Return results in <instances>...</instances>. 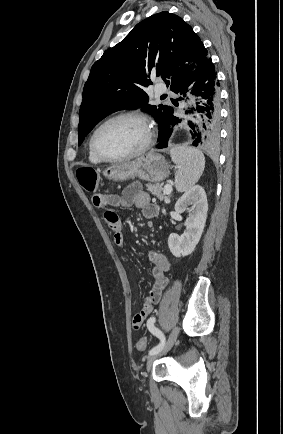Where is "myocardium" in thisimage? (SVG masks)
Returning <instances> with one entry per match:
<instances>
[{
  "label": "myocardium",
  "instance_id": "myocardium-1",
  "mask_svg": "<svg viewBox=\"0 0 283 434\" xmlns=\"http://www.w3.org/2000/svg\"><path fill=\"white\" fill-rule=\"evenodd\" d=\"M120 119H135V120L140 121L146 129V140H145V143L138 150H136L132 153L122 155V156H117V157H109V156L104 155L99 150V148L97 147V144H96V138H97V135L101 131L102 128H104L109 123L120 120ZM153 138H154L153 125H152L150 119L148 118V116L145 115L144 113H141L138 111H127V112H122V113L113 115V116L107 118L106 120H104L99 126H97V128L93 131V133L91 135L90 146H91L93 153L102 162L113 163V162H120V161L129 160V159H132V158H135V157H138V156L144 154L152 146Z\"/></svg>",
  "mask_w": 283,
  "mask_h": 434
}]
</instances>
